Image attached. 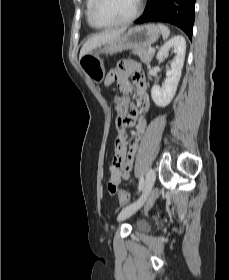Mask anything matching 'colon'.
<instances>
[{
  "mask_svg": "<svg viewBox=\"0 0 229 280\" xmlns=\"http://www.w3.org/2000/svg\"><path fill=\"white\" fill-rule=\"evenodd\" d=\"M120 100L122 101L123 104L127 103L126 98L121 97ZM129 118L125 114H119L116 118V129H117V134L118 137L120 138L126 134V129L129 125ZM123 160L120 158L113 159V167L119 168L122 167ZM108 190L111 194L118 193L119 194V200L122 204H125L129 201V196L126 192L122 190H118L117 185H115L113 182L108 181L107 184Z\"/></svg>",
  "mask_w": 229,
  "mask_h": 280,
  "instance_id": "colon-1",
  "label": "colon"
}]
</instances>
